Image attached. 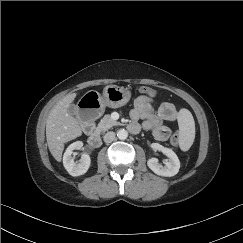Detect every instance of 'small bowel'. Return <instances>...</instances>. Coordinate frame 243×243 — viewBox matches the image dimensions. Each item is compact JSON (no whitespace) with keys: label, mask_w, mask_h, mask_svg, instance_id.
<instances>
[{"label":"small bowel","mask_w":243,"mask_h":243,"mask_svg":"<svg viewBox=\"0 0 243 243\" xmlns=\"http://www.w3.org/2000/svg\"><path fill=\"white\" fill-rule=\"evenodd\" d=\"M178 116L177 109L170 102H162L158 107L154 105V99L140 95L134 103V109L131 112L132 123L129 130L132 133L139 131V123L145 130L153 133L154 137L159 141L169 139L171 132L163 125L164 121H176Z\"/></svg>","instance_id":"1"}]
</instances>
